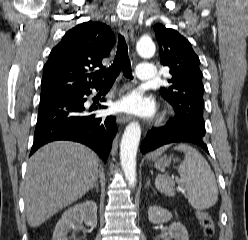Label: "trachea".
Returning <instances> with one entry per match:
<instances>
[{"label":"trachea","instance_id":"3493384b","mask_svg":"<svg viewBox=\"0 0 248 240\" xmlns=\"http://www.w3.org/2000/svg\"><path fill=\"white\" fill-rule=\"evenodd\" d=\"M121 71L125 77L132 78L127 43L124 36L119 35L115 60L108 69H105L101 73V76L104 77L103 84L105 85L114 83Z\"/></svg>","mask_w":248,"mask_h":240}]
</instances>
